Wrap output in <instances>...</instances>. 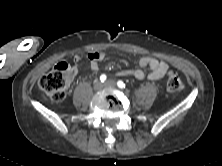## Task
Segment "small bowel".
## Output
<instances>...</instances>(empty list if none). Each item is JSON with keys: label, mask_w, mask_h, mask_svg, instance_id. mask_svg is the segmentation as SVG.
I'll use <instances>...</instances> for the list:
<instances>
[{"label": "small bowel", "mask_w": 222, "mask_h": 166, "mask_svg": "<svg viewBox=\"0 0 222 166\" xmlns=\"http://www.w3.org/2000/svg\"><path fill=\"white\" fill-rule=\"evenodd\" d=\"M90 68L92 71L99 70V63L105 59V54L100 51H93L87 55ZM80 56L74 57V62L78 63L80 61ZM145 68H149V73L147 75L148 79L151 81H159L164 78L168 71V64L156 57L143 56L139 58L136 62V67L133 69H124L119 71L120 76H133L136 79H143L146 76ZM77 72L76 65L73 68V74Z\"/></svg>", "instance_id": "c3829d8e"}]
</instances>
